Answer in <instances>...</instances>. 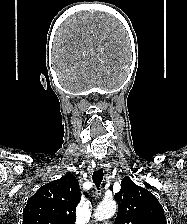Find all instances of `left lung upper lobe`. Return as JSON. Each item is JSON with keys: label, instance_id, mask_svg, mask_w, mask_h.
Here are the masks:
<instances>
[{"label": "left lung upper lobe", "instance_id": "1", "mask_svg": "<svg viewBox=\"0 0 187 224\" xmlns=\"http://www.w3.org/2000/svg\"><path fill=\"white\" fill-rule=\"evenodd\" d=\"M115 199L119 205L115 224H167L158 199L128 176L122 180Z\"/></svg>", "mask_w": 187, "mask_h": 224}]
</instances>
